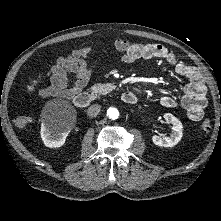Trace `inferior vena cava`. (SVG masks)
Wrapping results in <instances>:
<instances>
[{"mask_svg": "<svg viewBox=\"0 0 221 221\" xmlns=\"http://www.w3.org/2000/svg\"><path fill=\"white\" fill-rule=\"evenodd\" d=\"M101 110V106L98 104L91 105L87 110V115L89 117H96Z\"/></svg>", "mask_w": 221, "mask_h": 221, "instance_id": "inferior-vena-cava-1", "label": "inferior vena cava"}]
</instances>
